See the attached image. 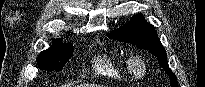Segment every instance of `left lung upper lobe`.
Wrapping results in <instances>:
<instances>
[{"label": "left lung upper lobe", "mask_w": 205, "mask_h": 87, "mask_svg": "<svg viewBox=\"0 0 205 87\" xmlns=\"http://www.w3.org/2000/svg\"><path fill=\"white\" fill-rule=\"evenodd\" d=\"M108 37L136 45L138 48L148 50L150 53L155 55L158 59L159 65L163 67L168 74L171 86L177 87V78L169 69L166 61V50L161 44L154 26L146 22L141 13L132 17L128 24L110 32Z\"/></svg>", "instance_id": "obj_1"}]
</instances>
